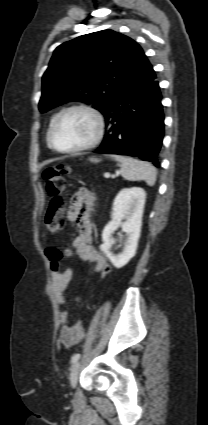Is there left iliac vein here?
<instances>
[{"label":"left iliac vein","instance_id":"1","mask_svg":"<svg viewBox=\"0 0 208 425\" xmlns=\"http://www.w3.org/2000/svg\"><path fill=\"white\" fill-rule=\"evenodd\" d=\"M80 362L77 361L73 364L70 372V384L72 387H75L78 381L79 372H80Z\"/></svg>","mask_w":208,"mask_h":425}]
</instances>
